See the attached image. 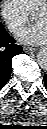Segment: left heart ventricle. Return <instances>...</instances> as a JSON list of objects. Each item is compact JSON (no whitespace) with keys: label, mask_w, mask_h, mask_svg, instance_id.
Returning a JSON list of instances; mask_svg holds the SVG:
<instances>
[{"label":"left heart ventricle","mask_w":47,"mask_h":129,"mask_svg":"<svg viewBox=\"0 0 47 129\" xmlns=\"http://www.w3.org/2000/svg\"><path fill=\"white\" fill-rule=\"evenodd\" d=\"M33 19L36 20V21H40V22L46 23V14L43 11L35 13L33 15Z\"/></svg>","instance_id":"1"}]
</instances>
